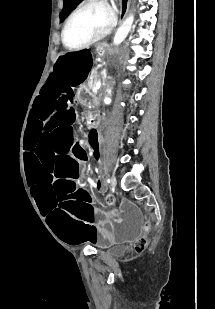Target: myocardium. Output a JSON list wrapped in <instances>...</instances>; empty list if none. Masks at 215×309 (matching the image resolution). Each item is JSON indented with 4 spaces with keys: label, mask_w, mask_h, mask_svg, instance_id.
<instances>
[{
    "label": "myocardium",
    "mask_w": 215,
    "mask_h": 309,
    "mask_svg": "<svg viewBox=\"0 0 215 309\" xmlns=\"http://www.w3.org/2000/svg\"><path fill=\"white\" fill-rule=\"evenodd\" d=\"M93 8H97L100 9L104 12H106L108 10V15L107 19H108V23H104L102 25V27H94L93 31H92V38L91 40L78 45V46H69L67 41H66V34H67V30L70 26V24L72 23V21L74 20V18L80 14L81 12L88 10V9H93ZM115 13L113 12V9H108V7L104 4H87V5H83L79 8H77L66 20L63 29L61 31V40L63 43V46L65 48H89L91 45H93L96 41H98L100 38H107V34H112L113 33V28L115 25Z\"/></svg>",
    "instance_id": "f54148a6"
}]
</instances>
